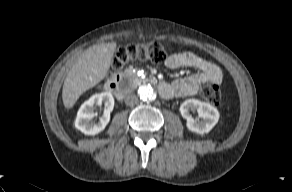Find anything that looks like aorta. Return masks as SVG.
Wrapping results in <instances>:
<instances>
[{
  "label": "aorta",
  "instance_id": "762f6f07",
  "mask_svg": "<svg viewBox=\"0 0 292 192\" xmlns=\"http://www.w3.org/2000/svg\"><path fill=\"white\" fill-rule=\"evenodd\" d=\"M138 96L144 102L152 101L156 97L155 90L151 85H142L138 89Z\"/></svg>",
  "mask_w": 292,
  "mask_h": 192
}]
</instances>
